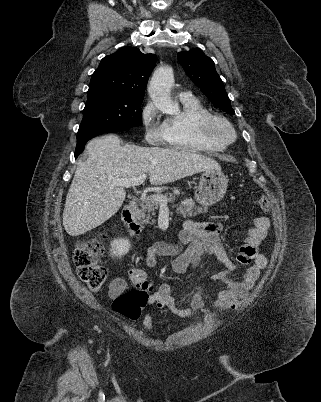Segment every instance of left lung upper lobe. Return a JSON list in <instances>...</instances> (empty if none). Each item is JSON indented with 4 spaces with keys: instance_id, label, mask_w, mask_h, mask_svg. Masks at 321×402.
I'll use <instances>...</instances> for the list:
<instances>
[{
    "instance_id": "left-lung-upper-lobe-1",
    "label": "left lung upper lobe",
    "mask_w": 321,
    "mask_h": 402,
    "mask_svg": "<svg viewBox=\"0 0 321 402\" xmlns=\"http://www.w3.org/2000/svg\"><path fill=\"white\" fill-rule=\"evenodd\" d=\"M177 58L189 78L197 85L207 98L221 110L235 114L223 81L215 70V64L199 48L179 52Z\"/></svg>"
}]
</instances>
